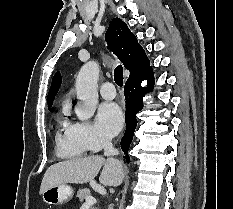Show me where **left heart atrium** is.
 Masks as SVG:
<instances>
[{
	"label": "left heart atrium",
	"instance_id": "left-heart-atrium-1",
	"mask_svg": "<svg viewBox=\"0 0 233 209\" xmlns=\"http://www.w3.org/2000/svg\"><path fill=\"white\" fill-rule=\"evenodd\" d=\"M123 114L119 106L112 102L102 103L97 112L96 126L106 138L114 137L122 128Z\"/></svg>",
	"mask_w": 233,
	"mask_h": 209
}]
</instances>
